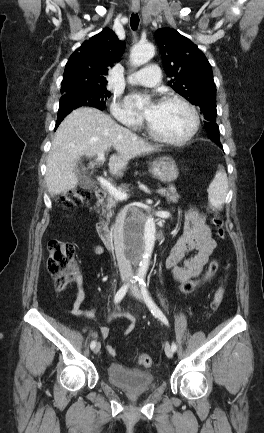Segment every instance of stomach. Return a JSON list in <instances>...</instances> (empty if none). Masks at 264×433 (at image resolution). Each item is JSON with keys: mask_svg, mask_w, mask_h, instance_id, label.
<instances>
[{"mask_svg": "<svg viewBox=\"0 0 264 433\" xmlns=\"http://www.w3.org/2000/svg\"><path fill=\"white\" fill-rule=\"evenodd\" d=\"M149 172L163 183H170L177 179L179 171L171 157H161L150 163Z\"/></svg>", "mask_w": 264, "mask_h": 433, "instance_id": "obj_1", "label": "stomach"}]
</instances>
